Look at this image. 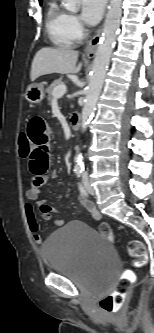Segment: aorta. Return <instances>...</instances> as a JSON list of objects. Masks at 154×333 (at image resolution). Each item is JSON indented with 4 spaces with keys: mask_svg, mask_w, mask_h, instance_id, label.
I'll list each match as a JSON object with an SVG mask.
<instances>
[{
    "mask_svg": "<svg viewBox=\"0 0 154 333\" xmlns=\"http://www.w3.org/2000/svg\"><path fill=\"white\" fill-rule=\"evenodd\" d=\"M64 7L70 12H78L79 0H63ZM122 16V0H110V7L106 15L102 37L97 48L92 74L86 91V97L81 114V130L85 132L96 110L99 94L106 76L108 64L115 44L116 35L120 27ZM77 169L84 167L83 156L78 154Z\"/></svg>",
    "mask_w": 154,
    "mask_h": 333,
    "instance_id": "aorta-1",
    "label": "aorta"
}]
</instances>
